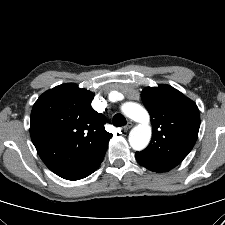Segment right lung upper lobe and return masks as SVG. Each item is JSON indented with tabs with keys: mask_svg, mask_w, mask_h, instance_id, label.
<instances>
[{
	"mask_svg": "<svg viewBox=\"0 0 225 225\" xmlns=\"http://www.w3.org/2000/svg\"><path fill=\"white\" fill-rule=\"evenodd\" d=\"M94 93L62 84L43 93L30 117L32 142L46 166L67 180L87 177L101 164L112 137L103 114L91 107Z\"/></svg>",
	"mask_w": 225,
	"mask_h": 225,
	"instance_id": "cb5924a9",
	"label": "right lung upper lobe"
}]
</instances>
